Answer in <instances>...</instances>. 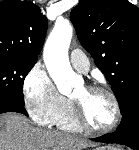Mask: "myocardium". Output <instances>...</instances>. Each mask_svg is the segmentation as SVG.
I'll return each mask as SVG.
<instances>
[{
    "label": "myocardium",
    "mask_w": 139,
    "mask_h": 150,
    "mask_svg": "<svg viewBox=\"0 0 139 150\" xmlns=\"http://www.w3.org/2000/svg\"><path fill=\"white\" fill-rule=\"evenodd\" d=\"M85 87L89 91L103 92L109 96L114 108V118L109 126L105 128H95L92 125H90L89 122L87 121L82 104L75 99H71L73 105L74 117L77 124L81 129L94 134H107L112 132L119 125L122 117L121 105L117 95L111 89L103 85L89 84L86 85Z\"/></svg>",
    "instance_id": "f54148a6"
}]
</instances>
